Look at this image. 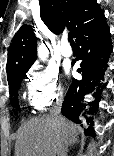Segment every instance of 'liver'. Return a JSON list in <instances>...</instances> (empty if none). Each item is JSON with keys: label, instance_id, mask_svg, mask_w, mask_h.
<instances>
[{"label": "liver", "instance_id": "liver-1", "mask_svg": "<svg viewBox=\"0 0 114 156\" xmlns=\"http://www.w3.org/2000/svg\"><path fill=\"white\" fill-rule=\"evenodd\" d=\"M79 127L61 117H34L18 131L15 156H58L61 146L77 136Z\"/></svg>", "mask_w": 114, "mask_h": 156}]
</instances>
